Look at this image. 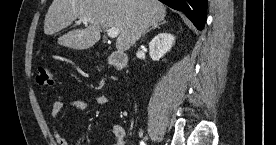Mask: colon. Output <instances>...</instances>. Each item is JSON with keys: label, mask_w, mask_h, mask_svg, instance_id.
<instances>
[{"label": "colon", "mask_w": 276, "mask_h": 145, "mask_svg": "<svg viewBox=\"0 0 276 145\" xmlns=\"http://www.w3.org/2000/svg\"><path fill=\"white\" fill-rule=\"evenodd\" d=\"M36 81L40 86H53L55 83L53 70L49 67H40L37 71Z\"/></svg>", "instance_id": "1"}]
</instances>
